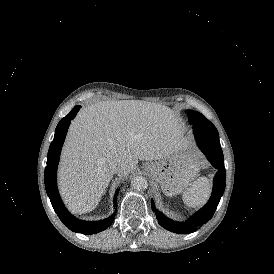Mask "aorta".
I'll return each mask as SVG.
<instances>
[{"mask_svg": "<svg viewBox=\"0 0 274 274\" xmlns=\"http://www.w3.org/2000/svg\"><path fill=\"white\" fill-rule=\"evenodd\" d=\"M131 186L136 191H142L145 190L148 187V182L145 177L143 176H136L131 181Z\"/></svg>", "mask_w": 274, "mask_h": 274, "instance_id": "762f6f07", "label": "aorta"}]
</instances>
